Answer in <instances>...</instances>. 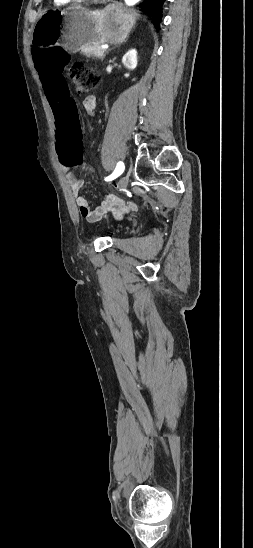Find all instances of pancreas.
I'll use <instances>...</instances> for the list:
<instances>
[{
    "label": "pancreas",
    "mask_w": 253,
    "mask_h": 548,
    "mask_svg": "<svg viewBox=\"0 0 253 548\" xmlns=\"http://www.w3.org/2000/svg\"><path fill=\"white\" fill-rule=\"evenodd\" d=\"M105 50L101 49L98 45L84 46L81 48V53L88 57H94L97 59H103Z\"/></svg>",
    "instance_id": "pancreas-1"
}]
</instances>
